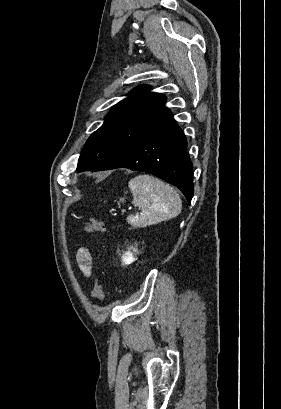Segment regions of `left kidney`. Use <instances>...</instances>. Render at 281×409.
I'll return each instance as SVG.
<instances>
[{"instance_id":"1","label":"left kidney","mask_w":281,"mask_h":409,"mask_svg":"<svg viewBox=\"0 0 281 409\" xmlns=\"http://www.w3.org/2000/svg\"><path fill=\"white\" fill-rule=\"evenodd\" d=\"M135 253H136V251H135ZM134 261H137V259H135V257H133L131 251H127V253H125V255H123V257H122L123 265H131V263H134Z\"/></svg>"}]
</instances>
